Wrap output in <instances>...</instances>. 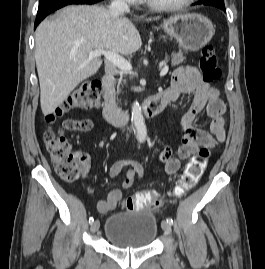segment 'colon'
Instances as JSON below:
<instances>
[{
	"label": "colon",
	"mask_w": 265,
	"mask_h": 269,
	"mask_svg": "<svg viewBox=\"0 0 265 269\" xmlns=\"http://www.w3.org/2000/svg\"><path fill=\"white\" fill-rule=\"evenodd\" d=\"M199 68L203 79L208 83L216 82L221 77V68L215 55L214 47L206 45L202 49L199 59ZM101 84L98 81H90L74 90L59 106L55 112L47 115L48 122H53L62 114L76 109L97 108L100 103ZM85 122L75 120V123L65 122L64 128L71 127L84 128ZM46 149L50 159L56 168L58 176L65 182L76 181L80 175V158L74 152L71 143L63 132L48 129L44 135ZM209 158V150L201 149L187 163L175 189L174 194L181 197L189 192L202 177ZM160 194L157 191H140L124 200V207L128 210H140L145 207L158 206Z\"/></svg>",
	"instance_id": "colon-1"
}]
</instances>
